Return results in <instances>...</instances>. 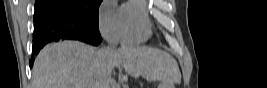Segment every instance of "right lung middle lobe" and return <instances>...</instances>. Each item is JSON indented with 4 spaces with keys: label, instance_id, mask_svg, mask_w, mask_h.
Instances as JSON below:
<instances>
[{
    "label": "right lung middle lobe",
    "instance_id": "1",
    "mask_svg": "<svg viewBox=\"0 0 267 88\" xmlns=\"http://www.w3.org/2000/svg\"><path fill=\"white\" fill-rule=\"evenodd\" d=\"M102 0H36L35 6L44 3L81 21L89 28L98 29V10Z\"/></svg>",
    "mask_w": 267,
    "mask_h": 88
}]
</instances>
